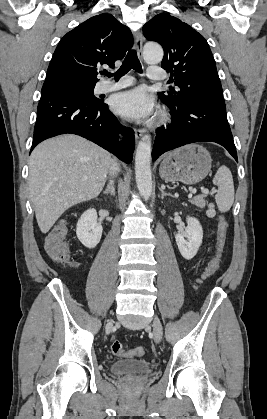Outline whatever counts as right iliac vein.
<instances>
[{
    "instance_id": "63e3f726",
    "label": "right iliac vein",
    "mask_w": 267,
    "mask_h": 419,
    "mask_svg": "<svg viewBox=\"0 0 267 419\" xmlns=\"http://www.w3.org/2000/svg\"><path fill=\"white\" fill-rule=\"evenodd\" d=\"M112 325V323H109V326H111Z\"/></svg>"
}]
</instances>
